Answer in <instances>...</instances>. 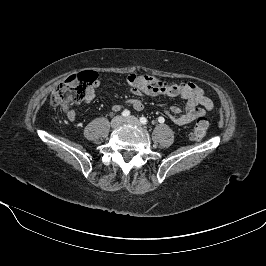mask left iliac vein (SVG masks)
Listing matches in <instances>:
<instances>
[{"instance_id": "4c4485c4", "label": "left iliac vein", "mask_w": 266, "mask_h": 266, "mask_svg": "<svg viewBox=\"0 0 266 266\" xmlns=\"http://www.w3.org/2000/svg\"><path fill=\"white\" fill-rule=\"evenodd\" d=\"M125 122H128V123H132V124H136V125H140V121L134 117V116H130L128 118H125L124 120Z\"/></svg>"}]
</instances>
